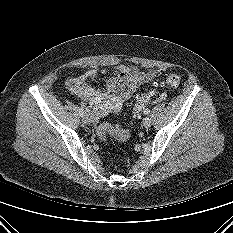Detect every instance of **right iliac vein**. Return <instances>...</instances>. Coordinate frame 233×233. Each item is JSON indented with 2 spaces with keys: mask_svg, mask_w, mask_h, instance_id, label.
<instances>
[{
  "mask_svg": "<svg viewBox=\"0 0 233 233\" xmlns=\"http://www.w3.org/2000/svg\"><path fill=\"white\" fill-rule=\"evenodd\" d=\"M83 121H84V123L89 124L91 122V116L88 114L84 115Z\"/></svg>",
  "mask_w": 233,
  "mask_h": 233,
  "instance_id": "right-iliac-vein-1",
  "label": "right iliac vein"
}]
</instances>
